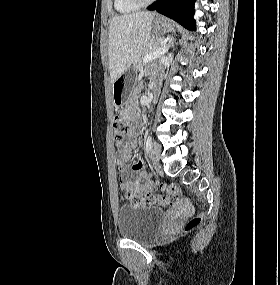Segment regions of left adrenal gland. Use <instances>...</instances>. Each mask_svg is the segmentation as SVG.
Here are the masks:
<instances>
[{"label": "left adrenal gland", "instance_id": "left-adrenal-gland-1", "mask_svg": "<svg viewBox=\"0 0 280 285\" xmlns=\"http://www.w3.org/2000/svg\"><path fill=\"white\" fill-rule=\"evenodd\" d=\"M174 42H175V39L174 37H172L170 40H169V43H168V47L170 48H173L174 47Z\"/></svg>", "mask_w": 280, "mask_h": 285}]
</instances>
